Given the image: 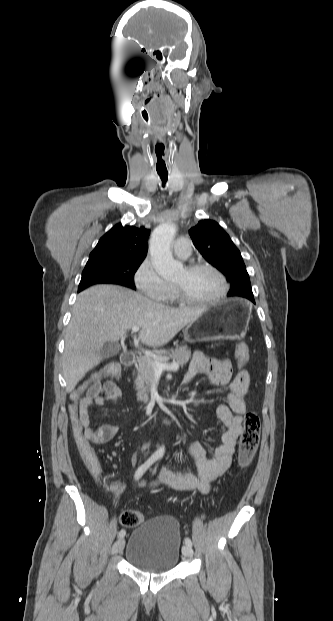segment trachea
<instances>
[{"instance_id": "3493384b", "label": "trachea", "mask_w": 333, "mask_h": 621, "mask_svg": "<svg viewBox=\"0 0 333 621\" xmlns=\"http://www.w3.org/2000/svg\"><path fill=\"white\" fill-rule=\"evenodd\" d=\"M158 175H159V177H160V179L162 181V186L164 187L166 182H167V180H168V173L167 172H165V173L158 172Z\"/></svg>"}]
</instances>
